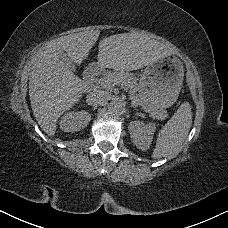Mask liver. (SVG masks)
I'll return each instance as SVG.
<instances>
[{
    "mask_svg": "<svg viewBox=\"0 0 228 228\" xmlns=\"http://www.w3.org/2000/svg\"><path fill=\"white\" fill-rule=\"evenodd\" d=\"M100 36V30L55 39L39 49L30 62L29 100L41 130L56 137L59 120L82 99L88 87L61 57L84 65ZM176 52L159 41L139 33L115 34L99 43L97 65L113 71L130 72L153 66Z\"/></svg>",
    "mask_w": 228,
    "mask_h": 228,
    "instance_id": "6515ba94",
    "label": "liver"
}]
</instances>
